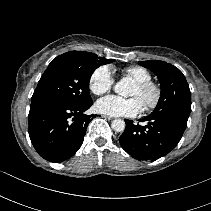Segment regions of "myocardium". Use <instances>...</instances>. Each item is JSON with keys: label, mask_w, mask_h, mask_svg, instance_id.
Masks as SVG:
<instances>
[{"label": "myocardium", "mask_w": 211, "mask_h": 211, "mask_svg": "<svg viewBox=\"0 0 211 211\" xmlns=\"http://www.w3.org/2000/svg\"><path fill=\"white\" fill-rule=\"evenodd\" d=\"M135 85L143 92H152V98L143 104V108L147 111L157 108L162 99L161 85L152 80L136 82Z\"/></svg>", "instance_id": "obj_1"}]
</instances>
